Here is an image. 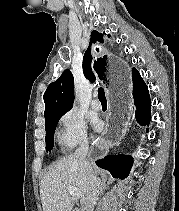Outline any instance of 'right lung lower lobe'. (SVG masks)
I'll list each match as a JSON object with an SVG mask.
<instances>
[{
  "label": "right lung lower lobe",
  "instance_id": "1",
  "mask_svg": "<svg viewBox=\"0 0 179 211\" xmlns=\"http://www.w3.org/2000/svg\"><path fill=\"white\" fill-rule=\"evenodd\" d=\"M132 80L136 120L142 126L149 125L151 120V100L148 87L135 68L132 70ZM146 131L148 132V128ZM132 163V157L123 154L106 156L96 161L97 166L108 170L114 178L120 179H124L129 175Z\"/></svg>",
  "mask_w": 179,
  "mask_h": 211
}]
</instances>
